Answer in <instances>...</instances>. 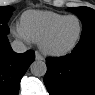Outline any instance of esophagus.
<instances>
[{
    "label": "esophagus",
    "mask_w": 95,
    "mask_h": 95,
    "mask_svg": "<svg viewBox=\"0 0 95 95\" xmlns=\"http://www.w3.org/2000/svg\"><path fill=\"white\" fill-rule=\"evenodd\" d=\"M35 59L38 61L44 60L43 56L39 52H35Z\"/></svg>",
    "instance_id": "34e87169"
}]
</instances>
